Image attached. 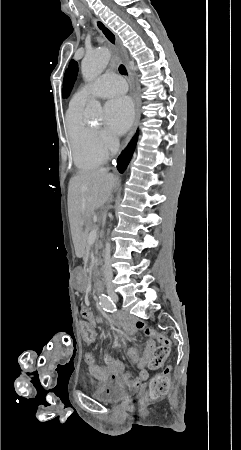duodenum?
Wrapping results in <instances>:
<instances>
[{
    "label": "duodenum",
    "instance_id": "duodenum-1",
    "mask_svg": "<svg viewBox=\"0 0 241 450\" xmlns=\"http://www.w3.org/2000/svg\"><path fill=\"white\" fill-rule=\"evenodd\" d=\"M91 287H92L93 291L98 292L102 288V283L98 278L93 277Z\"/></svg>",
    "mask_w": 241,
    "mask_h": 450
}]
</instances>
